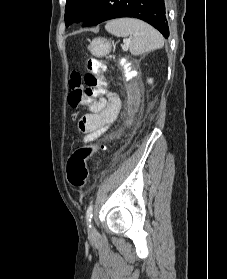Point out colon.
<instances>
[{"label": "colon", "instance_id": "obj_1", "mask_svg": "<svg viewBox=\"0 0 227 279\" xmlns=\"http://www.w3.org/2000/svg\"><path fill=\"white\" fill-rule=\"evenodd\" d=\"M105 83L100 60L97 58L89 59L87 62V73L83 77L79 72H72L70 75L69 86L71 92L68 96L69 105L71 107H78L94 98L100 97ZM97 149V147H81L69 158L67 178L73 187L81 189L87 183V160Z\"/></svg>", "mask_w": 227, "mask_h": 279}]
</instances>
